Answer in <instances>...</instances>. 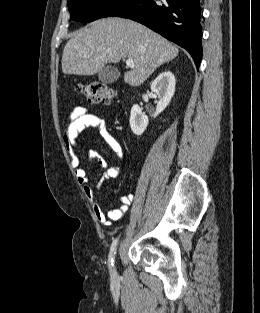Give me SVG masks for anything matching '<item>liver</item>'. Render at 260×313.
I'll return each mask as SVG.
<instances>
[{
	"instance_id": "liver-1",
	"label": "liver",
	"mask_w": 260,
	"mask_h": 313,
	"mask_svg": "<svg viewBox=\"0 0 260 313\" xmlns=\"http://www.w3.org/2000/svg\"><path fill=\"white\" fill-rule=\"evenodd\" d=\"M178 53L177 47L146 26L113 17L75 32L64 47L61 64L64 74L93 75L109 63L132 59L134 67L124 73V82L136 87Z\"/></svg>"
}]
</instances>
